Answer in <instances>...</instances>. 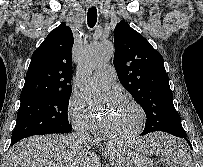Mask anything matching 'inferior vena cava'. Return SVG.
<instances>
[{
	"instance_id": "1",
	"label": "inferior vena cava",
	"mask_w": 203,
	"mask_h": 167,
	"mask_svg": "<svg viewBox=\"0 0 203 167\" xmlns=\"http://www.w3.org/2000/svg\"><path fill=\"white\" fill-rule=\"evenodd\" d=\"M73 138L80 145H89L92 143L90 135L84 130L73 133Z\"/></svg>"
}]
</instances>
